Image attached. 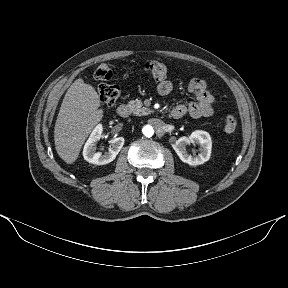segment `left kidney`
<instances>
[{"mask_svg":"<svg viewBox=\"0 0 288 288\" xmlns=\"http://www.w3.org/2000/svg\"><path fill=\"white\" fill-rule=\"evenodd\" d=\"M190 143L200 145L198 155L191 156L188 153L186 146ZM172 147L183 162L191 166H196L209 160L211 155L212 140L208 132L197 130L192 132L189 137H181L176 140L172 144Z\"/></svg>","mask_w":288,"mask_h":288,"instance_id":"5707ae66","label":"left kidney"}]
</instances>
